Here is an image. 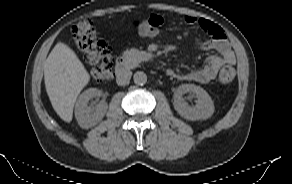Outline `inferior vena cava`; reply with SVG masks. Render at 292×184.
<instances>
[{
	"label": "inferior vena cava",
	"instance_id": "1",
	"mask_svg": "<svg viewBox=\"0 0 292 184\" xmlns=\"http://www.w3.org/2000/svg\"><path fill=\"white\" fill-rule=\"evenodd\" d=\"M132 72L130 70H119L117 72L116 82L118 85H125L129 83Z\"/></svg>",
	"mask_w": 292,
	"mask_h": 184
}]
</instances>
